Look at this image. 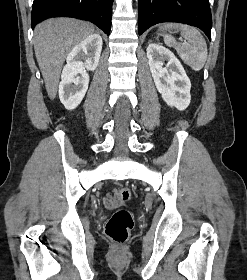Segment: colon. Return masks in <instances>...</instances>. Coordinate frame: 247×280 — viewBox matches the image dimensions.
<instances>
[{
  "instance_id": "obj_1",
  "label": "colon",
  "mask_w": 247,
  "mask_h": 280,
  "mask_svg": "<svg viewBox=\"0 0 247 280\" xmlns=\"http://www.w3.org/2000/svg\"><path fill=\"white\" fill-rule=\"evenodd\" d=\"M131 191L122 187L114 191V198L118 203L128 201ZM134 226L132 213L127 209H118L109 218L105 225L106 236L114 243L121 244L128 240Z\"/></svg>"
}]
</instances>
